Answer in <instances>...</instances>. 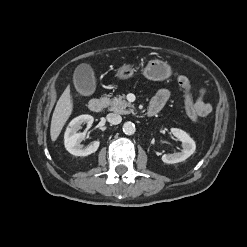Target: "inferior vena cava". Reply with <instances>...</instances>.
Here are the masks:
<instances>
[{
  "instance_id": "602c4592",
  "label": "inferior vena cava",
  "mask_w": 247,
  "mask_h": 247,
  "mask_svg": "<svg viewBox=\"0 0 247 247\" xmlns=\"http://www.w3.org/2000/svg\"><path fill=\"white\" fill-rule=\"evenodd\" d=\"M106 118L113 125H117L122 121V117L116 113H109Z\"/></svg>"
}]
</instances>
